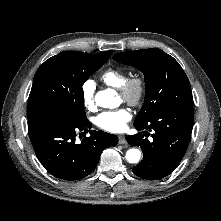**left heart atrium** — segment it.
I'll return each instance as SVG.
<instances>
[{
	"label": "left heart atrium",
	"instance_id": "1",
	"mask_svg": "<svg viewBox=\"0 0 221 221\" xmlns=\"http://www.w3.org/2000/svg\"><path fill=\"white\" fill-rule=\"evenodd\" d=\"M131 120V113L126 108L104 111L96 117V125L102 130L118 133L122 132Z\"/></svg>",
	"mask_w": 221,
	"mask_h": 221
}]
</instances>
